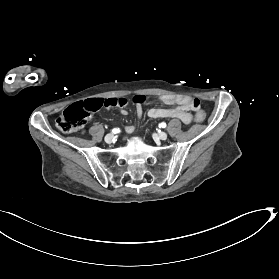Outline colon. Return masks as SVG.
<instances>
[{
  "mask_svg": "<svg viewBox=\"0 0 279 279\" xmlns=\"http://www.w3.org/2000/svg\"><path fill=\"white\" fill-rule=\"evenodd\" d=\"M179 99L191 110L196 111L194 116L196 122L202 123L205 120L206 114L200 109L199 100L187 96L179 97ZM145 100L146 97L143 95H136L132 98V102L137 105H142ZM128 102V99L123 97L108 99L96 98L78 102L66 108L57 118L56 123L58 128L63 132L70 133L79 131L99 109L103 107H121L127 105Z\"/></svg>",
  "mask_w": 279,
  "mask_h": 279,
  "instance_id": "colon-1",
  "label": "colon"
}]
</instances>
